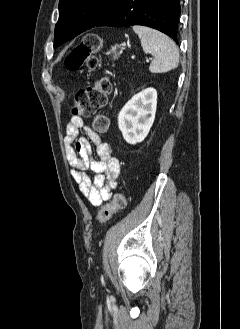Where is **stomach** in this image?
<instances>
[{"mask_svg":"<svg viewBox=\"0 0 240 329\" xmlns=\"http://www.w3.org/2000/svg\"><path fill=\"white\" fill-rule=\"evenodd\" d=\"M112 52L114 53V56H113L114 59L118 58V55H119V54L116 53V50L114 49ZM110 53H111V52H108L107 55H109Z\"/></svg>","mask_w":240,"mask_h":329,"instance_id":"stomach-1","label":"stomach"}]
</instances>
